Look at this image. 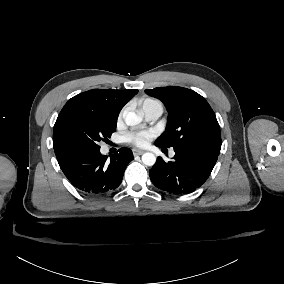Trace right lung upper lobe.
<instances>
[{
    "label": "right lung upper lobe",
    "instance_id": "cb5924a9",
    "mask_svg": "<svg viewBox=\"0 0 284 284\" xmlns=\"http://www.w3.org/2000/svg\"><path fill=\"white\" fill-rule=\"evenodd\" d=\"M137 93L138 90L92 89L72 97L66 105L72 103L85 104L95 108L107 117L118 118L122 107ZM53 146L58 160L69 154L60 148L54 134Z\"/></svg>",
    "mask_w": 284,
    "mask_h": 284
}]
</instances>
